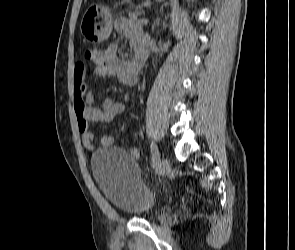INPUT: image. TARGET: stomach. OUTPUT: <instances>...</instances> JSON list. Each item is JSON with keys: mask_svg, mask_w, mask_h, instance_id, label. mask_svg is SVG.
<instances>
[{"mask_svg": "<svg viewBox=\"0 0 295 250\" xmlns=\"http://www.w3.org/2000/svg\"><path fill=\"white\" fill-rule=\"evenodd\" d=\"M112 28L111 11L109 7L100 4H93L88 7L80 25L82 35L93 42H101L107 39L112 32Z\"/></svg>", "mask_w": 295, "mask_h": 250, "instance_id": "0dacf381", "label": "stomach"}]
</instances>
